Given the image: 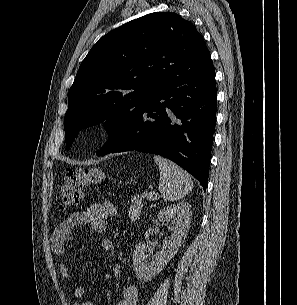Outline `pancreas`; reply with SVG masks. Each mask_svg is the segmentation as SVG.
Segmentation results:
<instances>
[{
	"label": "pancreas",
	"instance_id": "1",
	"mask_svg": "<svg viewBox=\"0 0 297 305\" xmlns=\"http://www.w3.org/2000/svg\"><path fill=\"white\" fill-rule=\"evenodd\" d=\"M143 206V198L142 196H134L132 198V204L130 205L129 208V217L133 220L136 221L138 220L141 210Z\"/></svg>",
	"mask_w": 297,
	"mask_h": 305
}]
</instances>
